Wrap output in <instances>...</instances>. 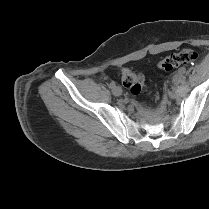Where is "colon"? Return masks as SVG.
Here are the masks:
<instances>
[{
  "mask_svg": "<svg viewBox=\"0 0 209 209\" xmlns=\"http://www.w3.org/2000/svg\"><path fill=\"white\" fill-rule=\"evenodd\" d=\"M196 53L191 49H183L179 52L173 53L158 63V67L162 70H172L181 65H186L194 62ZM121 81L125 88L133 95L140 94L145 87V80L142 74L136 73L129 68L121 70Z\"/></svg>",
  "mask_w": 209,
  "mask_h": 209,
  "instance_id": "1",
  "label": "colon"
}]
</instances>
